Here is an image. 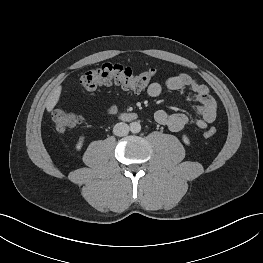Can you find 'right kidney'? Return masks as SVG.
Segmentation results:
<instances>
[{"mask_svg":"<svg viewBox=\"0 0 263 263\" xmlns=\"http://www.w3.org/2000/svg\"><path fill=\"white\" fill-rule=\"evenodd\" d=\"M84 136H80L79 137V140H78V142H77V144H76V149L77 150H80L81 149V147H82V145H83V142H84Z\"/></svg>","mask_w":263,"mask_h":263,"instance_id":"obj_1","label":"right kidney"}]
</instances>
